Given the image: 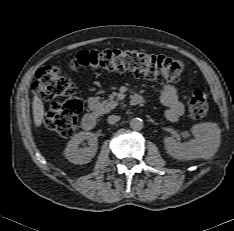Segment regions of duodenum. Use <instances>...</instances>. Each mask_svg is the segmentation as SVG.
<instances>
[{
  "instance_id": "obj_1",
  "label": "duodenum",
  "mask_w": 234,
  "mask_h": 231,
  "mask_svg": "<svg viewBox=\"0 0 234 231\" xmlns=\"http://www.w3.org/2000/svg\"><path fill=\"white\" fill-rule=\"evenodd\" d=\"M144 98L140 95H133L131 97V103L135 106H141L144 104ZM97 118L93 113H86L82 118V128L86 131H90L96 127Z\"/></svg>"
}]
</instances>
